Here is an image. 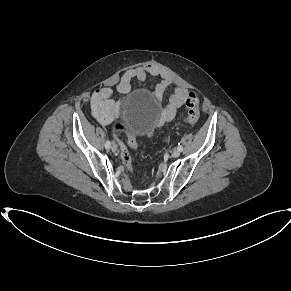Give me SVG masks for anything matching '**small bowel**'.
Masks as SVG:
<instances>
[{"label": "small bowel", "instance_id": "1", "mask_svg": "<svg viewBox=\"0 0 291 291\" xmlns=\"http://www.w3.org/2000/svg\"><path fill=\"white\" fill-rule=\"evenodd\" d=\"M147 76L160 78L153 95L156 101H161L165 90L171 84V77L167 72L161 70L154 64H147L142 67L127 70L122 75L117 85V90L120 93H125L129 91L134 80L144 81ZM112 95L113 90L110 87H100L92 94V115L101 126L109 125L120 115L122 103L120 101H113ZM187 96L188 91L186 89L181 87L174 89L169 96L167 104L160 112L156 126L148 136H153L159 128L176 116L178 109L186 102Z\"/></svg>", "mask_w": 291, "mask_h": 291}]
</instances>
